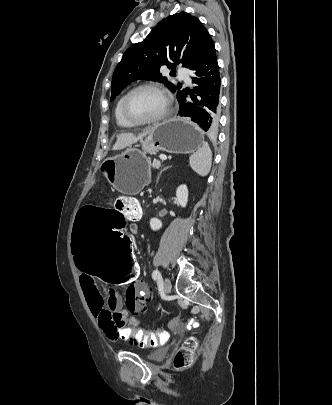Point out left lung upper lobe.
I'll return each mask as SVG.
<instances>
[{
	"mask_svg": "<svg viewBox=\"0 0 332 405\" xmlns=\"http://www.w3.org/2000/svg\"><path fill=\"white\" fill-rule=\"evenodd\" d=\"M214 44L210 34L197 17L180 12L161 20L144 41L128 48L118 63L112 79L113 100L129 83L138 79L165 81L179 96L184 89L166 81L161 66L172 68L181 63L190 70ZM172 61L174 64H172Z\"/></svg>",
	"mask_w": 332,
	"mask_h": 405,
	"instance_id": "obj_1",
	"label": "left lung upper lobe"
}]
</instances>
